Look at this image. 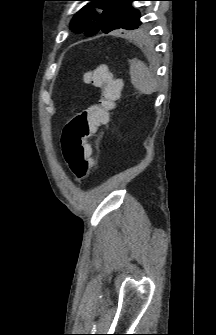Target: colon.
Masks as SVG:
<instances>
[{
    "mask_svg": "<svg viewBox=\"0 0 216 335\" xmlns=\"http://www.w3.org/2000/svg\"><path fill=\"white\" fill-rule=\"evenodd\" d=\"M87 78L101 89L100 99L96 104L74 114L64 126L60 137L64 160L78 179L87 178L94 166L92 148L87 139L95 134L100 125L108 122L123 86V80L115 78L106 65L89 71Z\"/></svg>",
    "mask_w": 216,
    "mask_h": 335,
    "instance_id": "obj_1",
    "label": "colon"
}]
</instances>
